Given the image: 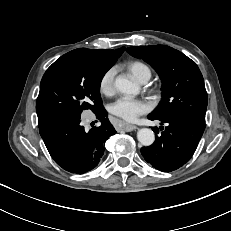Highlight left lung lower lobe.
Returning <instances> with one entry per match:
<instances>
[{"label":"left lung lower lobe","mask_w":231,"mask_h":231,"mask_svg":"<svg viewBox=\"0 0 231 231\" xmlns=\"http://www.w3.org/2000/svg\"><path fill=\"white\" fill-rule=\"evenodd\" d=\"M148 119L167 123L161 135L159 129L153 127L156 140L148 147L141 149L145 160L162 172H170L183 166L194 154L205 129V123L183 116L156 118L149 114Z\"/></svg>","instance_id":"1"}]
</instances>
